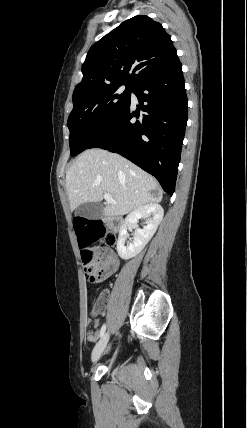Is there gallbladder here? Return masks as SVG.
I'll return each mask as SVG.
<instances>
[{"instance_id":"obj_1","label":"gallbladder","mask_w":247,"mask_h":428,"mask_svg":"<svg viewBox=\"0 0 247 428\" xmlns=\"http://www.w3.org/2000/svg\"><path fill=\"white\" fill-rule=\"evenodd\" d=\"M105 205L100 202H87L76 208V216L89 220H96L102 217Z\"/></svg>"}]
</instances>
